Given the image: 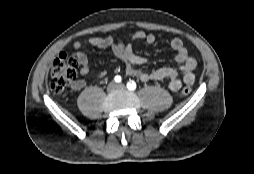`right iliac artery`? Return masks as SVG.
<instances>
[{
  "label": "right iliac artery",
  "instance_id": "right-iliac-artery-1",
  "mask_svg": "<svg viewBox=\"0 0 254 174\" xmlns=\"http://www.w3.org/2000/svg\"><path fill=\"white\" fill-rule=\"evenodd\" d=\"M114 80H115V82L119 83V82H121L122 79H121V76L117 75V76H115Z\"/></svg>",
  "mask_w": 254,
  "mask_h": 174
}]
</instances>
